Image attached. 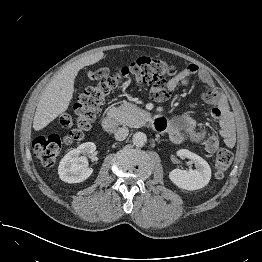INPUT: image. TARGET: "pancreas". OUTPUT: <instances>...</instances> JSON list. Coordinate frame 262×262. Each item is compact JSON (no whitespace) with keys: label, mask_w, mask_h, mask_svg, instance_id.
I'll return each instance as SVG.
<instances>
[{"label":"pancreas","mask_w":262,"mask_h":262,"mask_svg":"<svg viewBox=\"0 0 262 262\" xmlns=\"http://www.w3.org/2000/svg\"><path fill=\"white\" fill-rule=\"evenodd\" d=\"M111 115L122 125L139 127L145 123L147 113L132 103H124L110 109Z\"/></svg>","instance_id":"1"}]
</instances>
